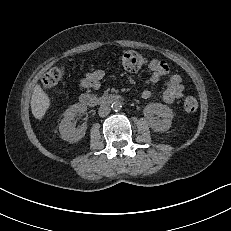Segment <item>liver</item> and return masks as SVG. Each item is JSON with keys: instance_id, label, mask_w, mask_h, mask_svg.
Returning a JSON list of instances; mask_svg holds the SVG:
<instances>
[{"instance_id": "obj_1", "label": "liver", "mask_w": 231, "mask_h": 231, "mask_svg": "<svg viewBox=\"0 0 231 231\" xmlns=\"http://www.w3.org/2000/svg\"><path fill=\"white\" fill-rule=\"evenodd\" d=\"M50 107V98L40 85H36L31 97V110L36 119L41 120Z\"/></svg>"}]
</instances>
